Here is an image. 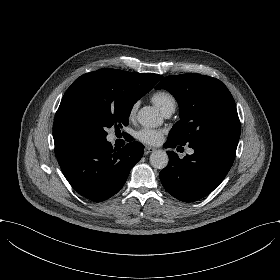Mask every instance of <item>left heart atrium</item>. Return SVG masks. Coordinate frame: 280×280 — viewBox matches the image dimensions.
I'll return each instance as SVG.
<instances>
[{
  "instance_id": "1",
  "label": "left heart atrium",
  "mask_w": 280,
  "mask_h": 280,
  "mask_svg": "<svg viewBox=\"0 0 280 280\" xmlns=\"http://www.w3.org/2000/svg\"><path fill=\"white\" fill-rule=\"evenodd\" d=\"M135 137L142 143L153 145L160 141L162 133L155 129L141 128L136 131Z\"/></svg>"
}]
</instances>
